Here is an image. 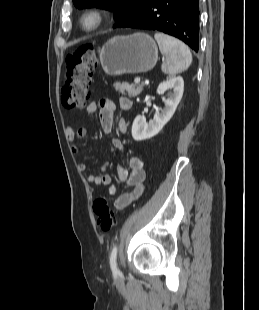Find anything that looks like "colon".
<instances>
[{"label": "colon", "mask_w": 259, "mask_h": 310, "mask_svg": "<svg viewBox=\"0 0 259 310\" xmlns=\"http://www.w3.org/2000/svg\"><path fill=\"white\" fill-rule=\"evenodd\" d=\"M98 64L97 47L93 44L81 45L66 57L65 83L62 102L69 108H83L90 98V84ZM97 222L102 231H109L117 223V218L106 198H98L93 203Z\"/></svg>", "instance_id": "5ec220e1"}]
</instances>
